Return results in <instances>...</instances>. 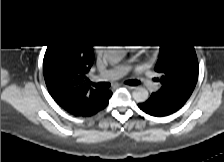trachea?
Masks as SVG:
<instances>
[{"mask_svg": "<svg viewBox=\"0 0 224 162\" xmlns=\"http://www.w3.org/2000/svg\"><path fill=\"white\" fill-rule=\"evenodd\" d=\"M126 84L135 86V85L140 84V82L137 80H129L126 82ZM92 85L98 89H106L111 86L110 83H107V82L94 83Z\"/></svg>", "mask_w": 224, "mask_h": 162, "instance_id": "obj_1", "label": "trachea"}]
</instances>
